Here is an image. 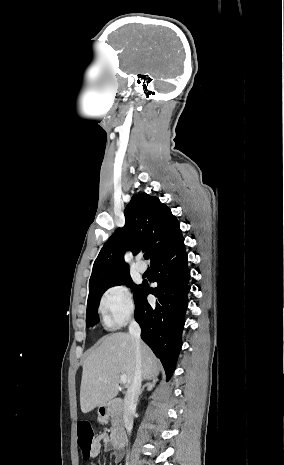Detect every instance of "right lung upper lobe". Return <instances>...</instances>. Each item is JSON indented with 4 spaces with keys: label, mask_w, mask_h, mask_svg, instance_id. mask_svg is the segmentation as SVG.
<instances>
[{
    "label": "right lung upper lobe",
    "mask_w": 284,
    "mask_h": 465,
    "mask_svg": "<svg viewBox=\"0 0 284 465\" xmlns=\"http://www.w3.org/2000/svg\"><path fill=\"white\" fill-rule=\"evenodd\" d=\"M124 215L125 226L118 228L106 241L93 264L89 294L130 276L129 266L124 261L127 249L134 254L148 252L152 262L183 237L179 221L157 197L146 193L134 195Z\"/></svg>",
    "instance_id": "cb5924a9"
}]
</instances>
